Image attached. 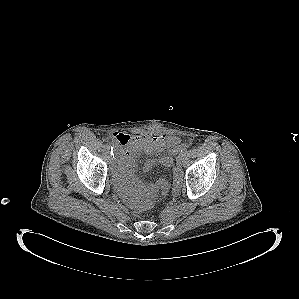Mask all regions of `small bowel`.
<instances>
[{
  "label": "small bowel",
  "instance_id": "c3829d8e",
  "mask_svg": "<svg viewBox=\"0 0 299 299\" xmlns=\"http://www.w3.org/2000/svg\"><path fill=\"white\" fill-rule=\"evenodd\" d=\"M113 138L122 147L116 170V180L120 187L128 194L138 192L148 197L154 196L158 191L166 193L169 189V182L165 178L148 185H143L133 178L136 159L141 152L147 155L158 154L165 150L171 154L176 153L179 150V138L164 134L131 136L124 132L113 133ZM171 154L146 160L143 164V170L147 172L157 165L170 167L173 164Z\"/></svg>",
  "mask_w": 299,
  "mask_h": 299
}]
</instances>
